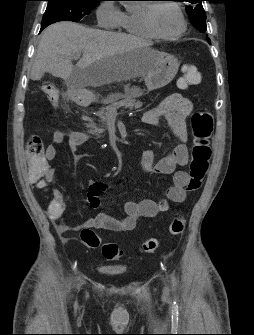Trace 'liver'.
Masks as SVG:
<instances>
[{"label":"liver","mask_w":254,"mask_h":335,"mask_svg":"<svg viewBox=\"0 0 254 335\" xmlns=\"http://www.w3.org/2000/svg\"><path fill=\"white\" fill-rule=\"evenodd\" d=\"M149 45L132 35L57 22L41 36L32 77L48 72L81 88L142 77L155 61ZM77 55L82 57L74 66Z\"/></svg>","instance_id":"1"}]
</instances>
